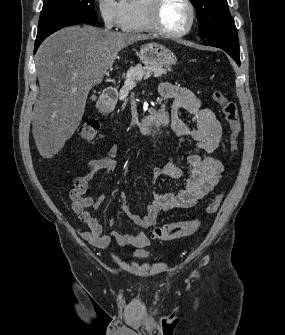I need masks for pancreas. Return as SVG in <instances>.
Returning <instances> with one entry per match:
<instances>
[{
    "mask_svg": "<svg viewBox=\"0 0 285 335\" xmlns=\"http://www.w3.org/2000/svg\"><path fill=\"white\" fill-rule=\"evenodd\" d=\"M133 71H126L123 82L124 85L120 86V93H130L131 90L136 89V84H142L145 81H152L153 77L163 79V74H166L165 68L162 66H134Z\"/></svg>",
    "mask_w": 285,
    "mask_h": 335,
    "instance_id": "obj_1",
    "label": "pancreas"
}]
</instances>
